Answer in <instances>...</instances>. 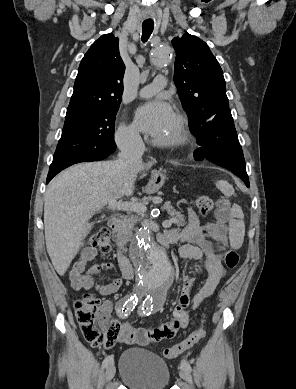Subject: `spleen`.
<instances>
[{
  "mask_svg": "<svg viewBox=\"0 0 296 389\" xmlns=\"http://www.w3.org/2000/svg\"><path fill=\"white\" fill-rule=\"evenodd\" d=\"M216 187L225 195L231 196L234 194V188L225 180H219L216 183ZM231 219L229 220V240L230 245L234 249H239L244 241L245 236V224L244 214L238 205H233L231 210Z\"/></svg>",
  "mask_w": 296,
  "mask_h": 389,
  "instance_id": "3e777b00",
  "label": "spleen"
}]
</instances>
